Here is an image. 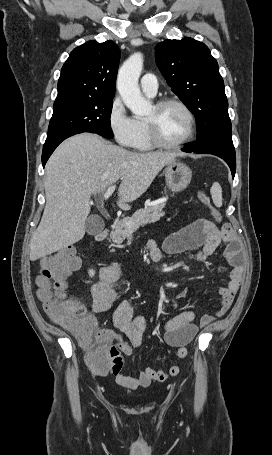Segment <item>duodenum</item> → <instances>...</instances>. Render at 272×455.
I'll return each instance as SVG.
<instances>
[{"instance_id": "1", "label": "duodenum", "mask_w": 272, "mask_h": 455, "mask_svg": "<svg viewBox=\"0 0 272 455\" xmlns=\"http://www.w3.org/2000/svg\"><path fill=\"white\" fill-rule=\"evenodd\" d=\"M108 234H109V229L103 228L98 233H96L95 240H97V241L104 240L108 236Z\"/></svg>"}]
</instances>
